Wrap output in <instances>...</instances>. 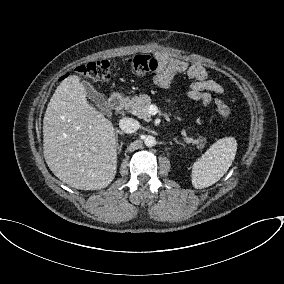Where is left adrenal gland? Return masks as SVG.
Returning <instances> with one entry per match:
<instances>
[{
	"label": "left adrenal gland",
	"instance_id": "a2214340",
	"mask_svg": "<svg viewBox=\"0 0 284 284\" xmlns=\"http://www.w3.org/2000/svg\"><path fill=\"white\" fill-rule=\"evenodd\" d=\"M176 143L183 145L182 143H180L179 141H177L176 138L173 139Z\"/></svg>",
	"mask_w": 284,
	"mask_h": 284
}]
</instances>
